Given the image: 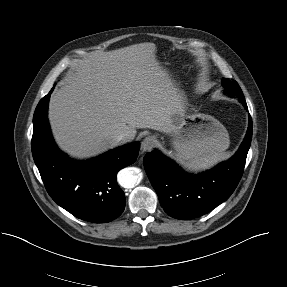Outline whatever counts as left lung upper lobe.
<instances>
[{
    "instance_id": "obj_1",
    "label": "left lung upper lobe",
    "mask_w": 287,
    "mask_h": 287,
    "mask_svg": "<svg viewBox=\"0 0 287 287\" xmlns=\"http://www.w3.org/2000/svg\"><path fill=\"white\" fill-rule=\"evenodd\" d=\"M222 84L223 86L226 87V90L230 94L231 97H237L239 101L245 100L242 90L236 81L234 80L230 81L229 79L223 78Z\"/></svg>"
}]
</instances>
